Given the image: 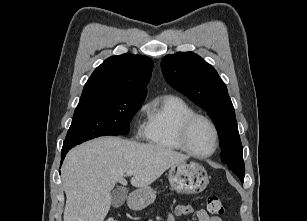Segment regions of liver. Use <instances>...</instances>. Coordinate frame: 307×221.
<instances>
[{"mask_svg":"<svg viewBox=\"0 0 307 221\" xmlns=\"http://www.w3.org/2000/svg\"><path fill=\"white\" fill-rule=\"evenodd\" d=\"M188 156L154 144L117 137H100L72 149L62 167L66 194L63 221H103L111 206L116 183L146 187Z\"/></svg>","mask_w":307,"mask_h":221,"instance_id":"6515ba94","label":"liver"}]
</instances>
